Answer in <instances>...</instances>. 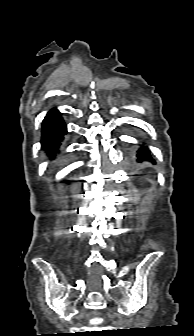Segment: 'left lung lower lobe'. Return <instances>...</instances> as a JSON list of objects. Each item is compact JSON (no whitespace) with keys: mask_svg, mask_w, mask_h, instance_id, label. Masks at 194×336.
Returning <instances> with one entry per match:
<instances>
[{"mask_svg":"<svg viewBox=\"0 0 194 336\" xmlns=\"http://www.w3.org/2000/svg\"><path fill=\"white\" fill-rule=\"evenodd\" d=\"M136 157H137L138 162L151 159L150 152L148 151L146 146H142L141 148H139V150L137 151Z\"/></svg>","mask_w":194,"mask_h":336,"instance_id":"left-lung-lower-lobe-1","label":"left lung lower lobe"}]
</instances>
